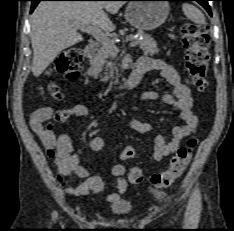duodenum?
Returning <instances> with one entry per match:
<instances>
[{"label": "duodenum", "mask_w": 234, "mask_h": 231, "mask_svg": "<svg viewBox=\"0 0 234 231\" xmlns=\"http://www.w3.org/2000/svg\"><path fill=\"white\" fill-rule=\"evenodd\" d=\"M96 52V45L94 43L88 44L84 49V55L86 57H92ZM149 66L138 64L135 66L134 70L131 72L125 84L126 90L134 89L141 82L144 73L149 70Z\"/></svg>", "instance_id": "obj_1"}]
</instances>
